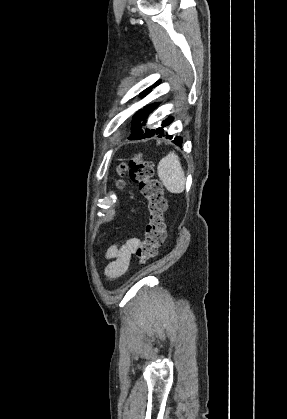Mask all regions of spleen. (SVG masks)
<instances>
[{
	"mask_svg": "<svg viewBox=\"0 0 287 419\" xmlns=\"http://www.w3.org/2000/svg\"><path fill=\"white\" fill-rule=\"evenodd\" d=\"M158 177L166 189L174 194L182 193L185 189V174L180 159L175 152H170L158 164Z\"/></svg>",
	"mask_w": 287,
	"mask_h": 419,
	"instance_id": "spleen-1",
	"label": "spleen"
}]
</instances>
